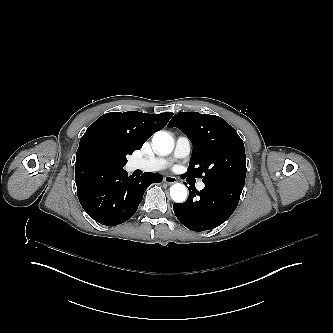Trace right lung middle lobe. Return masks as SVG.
I'll return each mask as SVG.
<instances>
[{"label":"right lung middle lobe","instance_id":"1","mask_svg":"<svg viewBox=\"0 0 333 333\" xmlns=\"http://www.w3.org/2000/svg\"><path fill=\"white\" fill-rule=\"evenodd\" d=\"M82 160L93 161L96 164L108 168H123L126 163V155L119 154L101 142H93L86 148Z\"/></svg>","mask_w":333,"mask_h":333}]
</instances>
